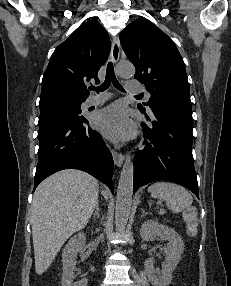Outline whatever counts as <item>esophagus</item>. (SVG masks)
Listing matches in <instances>:
<instances>
[{"mask_svg":"<svg viewBox=\"0 0 231 286\" xmlns=\"http://www.w3.org/2000/svg\"><path fill=\"white\" fill-rule=\"evenodd\" d=\"M120 56V43L118 36L113 37L112 39V47H111V59L114 63H117ZM113 160L116 166L120 167L123 163L124 156L122 153L117 150H112Z\"/></svg>","mask_w":231,"mask_h":286,"instance_id":"esophagus-1","label":"esophagus"}]
</instances>
